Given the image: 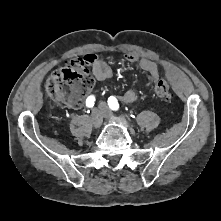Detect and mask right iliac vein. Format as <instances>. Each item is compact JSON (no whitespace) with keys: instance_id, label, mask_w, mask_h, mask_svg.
<instances>
[{"instance_id":"1","label":"right iliac vein","mask_w":221,"mask_h":221,"mask_svg":"<svg viewBox=\"0 0 221 221\" xmlns=\"http://www.w3.org/2000/svg\"><path fill=\"white\" fill-rule=\"evenodd\" d=\"M103 122V111L101 108L95 109L92 113V124L94 128H100Z\"/></svg>"}]
</instances>
